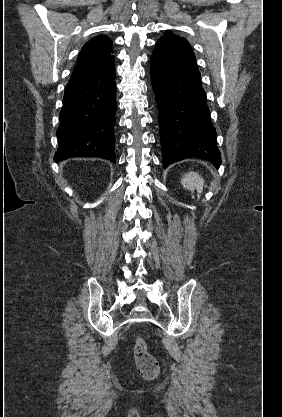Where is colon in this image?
Wrapping results in <instances>:
<instances>
[{
    "label": "colon",
    "mask_w": 282,
    "mask_h": 417,
    "mask_svg": "<svg viewBox=\"0 0 282 417\" xmlns=\"http://www.w3.org/2000/svg\"><path fill=\"white\" fill-rule=\"evenodd\" d=\"M134 348L136 349L135 364L138 372L146 379H153L159 373L158 361L148 352L147 343L141 337H136Z\"/></svg>",
    "instance_id": "colon-1"
}]
</instances>
